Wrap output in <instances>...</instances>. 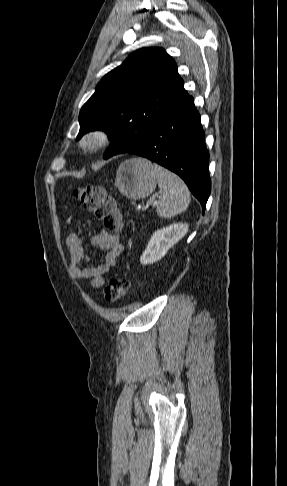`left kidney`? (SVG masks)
Masks as SVG:
<instances>
[{
    "instance_id": "1",
    "label": "left kidney",
    "mask_w": 287,
    "mask_h": 486,
    "mask_svg": "<svg viewBox=\"0 0 287 486\" xmlns=\"http://www.w3.org/2000/svg\"><path fill=\"white\" fill-rule=\"evenodd\" d=\"M188 232V224L174 223L155 231L140 257L142 265L159 261Z\"/></svg>"
}]
</instances>
